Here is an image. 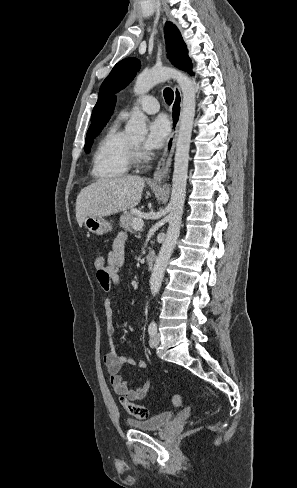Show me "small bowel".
<instances>
[{"label":"small bowel","instance_id":"obj_1","mask_svg":"<svg viewBox=\"0 0 297 488\" xmlns=\"http://www.w3.org/2000/svg\"><path fill=\"white\" fill-rule=\"evenodd\" d=\"M127 241V234L119 232L115 237L112 247L105 258V266L102 270H97V280L105 293H109L113 286L120 283L119 270L125 261V244ZM106 330L110 341V351L104 356V364L107 368L110 384L114 392L130 401H139L144 399L149 389V382H145L138 388H132L125 381L121 375L123 365L138 366L139 368H146L147 361L140 359L136 360L132 357H127L119 353L115 349L114 336L115 328L113 325V309L110 296L104 299Z\"/></svg>","mask_w":297,"mask_h":488}]
</instances>
